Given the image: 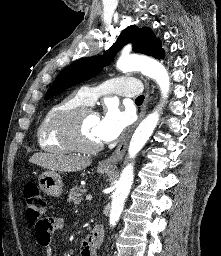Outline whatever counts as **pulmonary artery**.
I'll return each instance as SVG.
<instances>
[{"label":"pulmonary artery","mask_w":221,"mask_h":256,"mask_svg":"<svg viewBox=\"0 0 221 256\" xmlns=\"http://www.w3.org/2000/svg\"><path fill=\"white\" fill-rule=\"evenodd\" d=\"M141 84L133 78L118 77L111 79L97 87L84 86L80 93L88 104H93L97 98L105 93H115L126 97H135L141 93Z\"/></svg>","instance_id":"pulmonary-artery-1"}]
</instances>
